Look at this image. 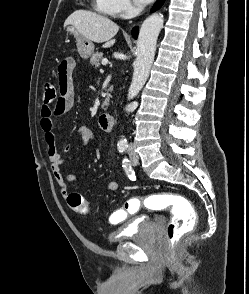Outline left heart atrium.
<instances>
[{"label":"left heart atrium","instance_id":"1","mask_svg":"<svg viewBox=\"0 0 249 294\" xmlns=\"http://www.w3.org/2000/svg\"><path fill=\"white\" fill-rule=\"evenodd\" d=\"M136 1L139 3H142V4H146V3L151 2L152 0H136Z\"/></svg>","mask_w":249,"mask_h":294}]
</instances>
